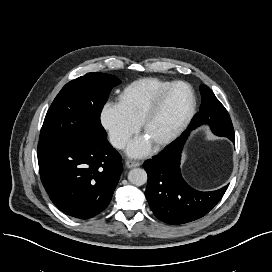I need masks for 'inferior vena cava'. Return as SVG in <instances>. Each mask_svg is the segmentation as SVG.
Segmentation results:
<instances>
[{
	"instance_id": "602c4592",
	"label": "inferior vena cava",
	"mask_w": 272,
	"mask_h": 272,
	"mask_svg": "<svg viewBox=\"0 0 272 272\" xmlns=\"http://www.w3.org/2000/svg\"><path fill=\"white\" fill-rule=\"evenodd\" d=\"M110 142L115 148L123 149L126 145L127 138L121 135H112Z\"/></svg>"
}]
</instances>
